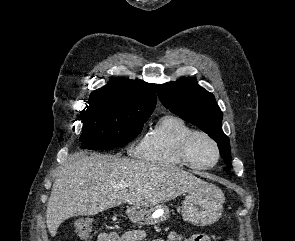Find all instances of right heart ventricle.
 Listing matches in <instances>:
<instances>
[{
	"instance_id": "right-heart-ventricle-1",
	"label": "right heart ventricle",
	"mask_w": 295,
	"mask_h": 241,
	"mask_svg": "<svg viewBox=\"0 0 295 241\" xmlns=\"http://www.w3.org/2000/svg\"><path fill=\"white\" fill-rule=\"evenodd\" d=\"M193 131L192 127L181 117L164 115L136 148V155L149 163L180 167L184 165L179 147L182 140Z\"/></svg>"
}]
</instances>
